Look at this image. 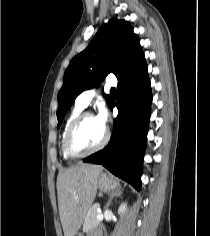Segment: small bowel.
<instances>
[{"label":"small bowel","instance_id":"1","mask_svg":"<svg viewBox=\"0 0 210 236\" xmlns=\"http://www.w3.org/2000/svg\"><path fill=\"white\" fill-rule=\"evenodd\" d=\"M90 236H102V232L101 230H96Z\"/></svg>","mask_w":210,"mask_h":236}]
</instances>
